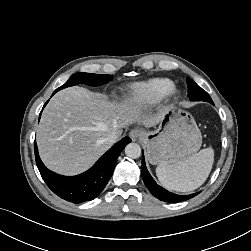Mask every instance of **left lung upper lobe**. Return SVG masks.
Segmentation results:
<instances>
[{"mask_svg": "<svg viewBox=\"0 0 251 251\" xmlns=\"http://www.w3.org/2000/svg\"><path fill=\"white\" fill-rule=\"evenodd\" d=\"M188 97L191 101H206L214 105L209 94L187 77Z\"/></svg>", "mask_w": 251, "mask_h": 251, "instance_id": "obj_1", "label": "left lung upper lobe"}]
</instances>
